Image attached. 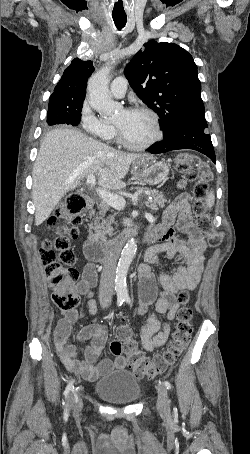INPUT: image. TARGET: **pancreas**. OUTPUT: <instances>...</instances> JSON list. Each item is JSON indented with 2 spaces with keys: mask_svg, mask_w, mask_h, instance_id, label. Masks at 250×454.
Returning <instances> with one entry per match:
<instances>
[{
  "mask_svg": "<svg viewBox=\"0 0 250 454\" xmlns=\"http://www.w3.org/2000/svg\"><path fill=\"white\" fill-rule=\"evenodd\" d=\"M139 190L146 192L148 195L153 197V200L150 202L149 207L151 209L163 208L166 198L163 194L159 193L156 190H151L149 188H139ZM99 209V215H96L94 218V224L91 225L94 233L91 235L93 239L106 242L107 235L111 236L113 234V228L111 227L114 223V216H109L105 218V214L109 211V205L105 202H101Z\"/></svg>",
  "mask_w": 250,
  "mask_h": 454,
  "instance_id": "1",
  "label": "pancreas"
}]
</instances>
